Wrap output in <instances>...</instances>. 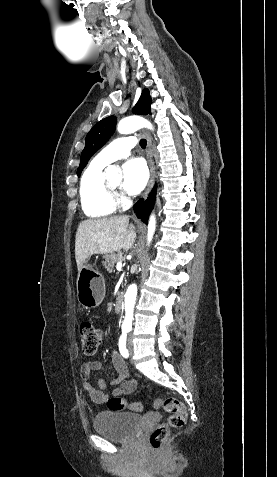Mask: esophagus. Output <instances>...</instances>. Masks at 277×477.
Returning <instances> with one entry per match:
<instances>
[{"mask_svg": "<svg viewBox=\"0 0 277 477\" xmlns=\"http://www.w3.org/2000/svg\"><path fill=\"white\" fill-rule=\"evenodd\" d=\"M142 136L146 138L147 140V158H148V165H149V170H150V177H149V181H148V184H147V187L144 191V194H143V199H147L152 187H153V184H154V180H155V169H154V165H153V160H152V141H151V137H150V134L147 130H143L142 131Z\"/></svg>", "mask_w": 277, "mask_h": 477, "instance_id": "obj_1", "label": "esophagus"}]
</instances>
